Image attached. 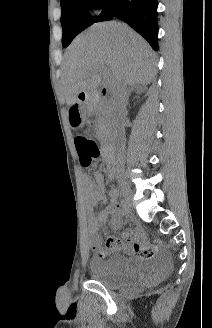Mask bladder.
Here are the masks:
<instances>
[{
  "instance_id": "bladder-1",
  "label": "bladder",
  "mask_w": 212,
  "mask_h": 328,
  "mask_svg": "<svg viewBox=\"0 0 212 328\" xmlns=\"http://www.w3.org/2000/svg\"><path fill=\"white\" fill-rule=\"evenodd\" d=\"M89 274L92 280L110 289L131 286L141 282L144 278L142 262L133 261L124 267L123 262L116 259L91 260Z\"/></svg>"
}]
</instances>
